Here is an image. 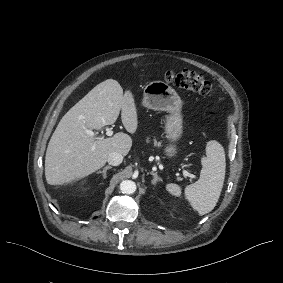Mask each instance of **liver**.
Here are the masks:
<instances>
[{
  "instance_id": "1",
  "label": "liver",
  "mask_w": 283,
  "mask_h": 283,
  "mask_svg": "<svg viewBox=\"0 0 283 283\" xmlns=\"http://www.w3.org/2000/svg\"><path fill=\"white\" fill-rule=\"evenodd\" d=\"M128 132L137 127L135 108L129 93L118 82L108 79L95 86L60 120L48 144L45 176L48 184L70 182L102 167L110 153L127 155L131 138L117 133L96 139L89 129H100L116 122L120 111Z\"/></svg>"
}]
</instances>
